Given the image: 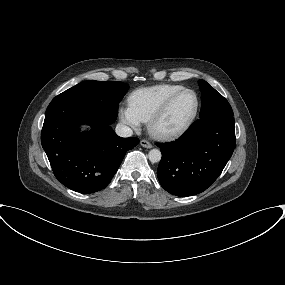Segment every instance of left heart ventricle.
Wrapping results in <instances>:
<instances>
[{"label":"left heart ventricle","mask_w":285,"mask_h":285,"mask_svg":"<svg viewBox=\"0 0 285 285\" xmlns=\"http://www.w3.org/2000/svg\"><path fill=\"white\" fill-rule=\"evenodd\" d=\"M195 107V98L191 93H184L179 96L167 114L160 122L164 129H175L181 126L192 114Z\"/></svg>","instance_id":"obj_1"}]
</instances>
